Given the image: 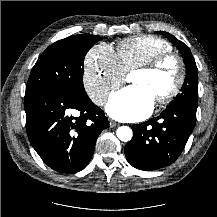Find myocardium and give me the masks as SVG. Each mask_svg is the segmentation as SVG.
Masks as SVG:
<instances>
[{"mask_svg": "<svg viewBox=\"0 0 217 217\" xmlns=\"http://www.w3.org/2000/svg\"><path fill=\"white\" fill-rule=\"evenodd\" d=\"M171 63L175 69V81L171 90L163 96L158 97L155 102L158 105H166L173 101L181 92L186 72L183 61L181 58L173 52L161 54L151 60L150 62L143 64L136 68V71L155 74L158 73L166 64Z\"/></svg>", "mask_w": 217, "mask_h": 217, "instance_id": "f54148a6", "label": "myocardium"}]
</instances>
